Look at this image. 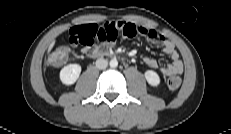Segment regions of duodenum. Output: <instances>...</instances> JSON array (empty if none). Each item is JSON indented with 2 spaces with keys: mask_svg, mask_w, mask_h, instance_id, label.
<instances>
[{
  "mask_svg": "<svg viewBox=\"0 0 231 134\" xmlns=\"http://www.w3.org/2000/svg\"><path fill=\"white\" fill-rule=\"evenodd\" d=\"M108 55V52L105 51V50H97L95 53H94V56L95 57H103V56H106Z\"/></svg>",
  "mask_w": 231,
  "mask_h": 134,
  "instance_id": "duodenum-1",
  "label": "duodenum"
}]
</instances>
